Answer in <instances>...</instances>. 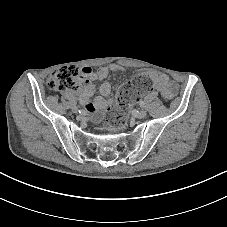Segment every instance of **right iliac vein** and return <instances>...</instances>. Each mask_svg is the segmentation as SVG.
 Instances as JSON below:
<instances>
[{
  "mask_svg": "<svg viewBox=\"0 0 227 227\" xmlns=\"http://www.w3.org/2000/svg\"><path fill=\"white\" fill-rule=\"evenodd\" d=\"M72 110H73V112H75V113L78 112V109H77L76 105L72 107Z\"/></svg>",
  "mask_w": 227,
  "mask_h": 227,
  "instance_id": "obj_1",
  "label": "right iliac vein"
}]
</instances>
